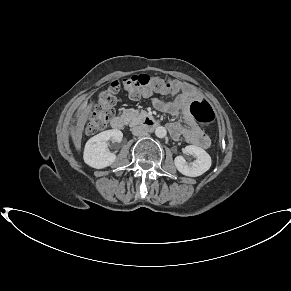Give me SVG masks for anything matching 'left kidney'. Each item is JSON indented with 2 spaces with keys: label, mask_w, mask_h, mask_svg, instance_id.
Masks as SVG:
<instances>
[{
  "label": "left kidney",
  "mask_w": 291,
  "mask_h": 291,
  "mask_svg": "<svg viewBox=\"0 0 291 291\" xmlns=\"http://www.w3.org/2000/svg\"><path fill=\"white\" fill-rule=\"evenodd\" d=\"M183 153L196 158L193 162H187L183 156H177L174 160L177 170L185 176L197 177L208 171L212 161L210 155L202 148L188 145Z\"/></svg>",
  "instance_id": "left-kidney-1"
}]
</instances>
